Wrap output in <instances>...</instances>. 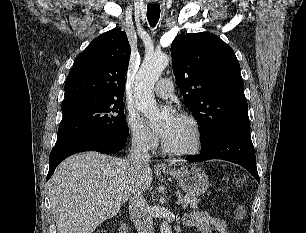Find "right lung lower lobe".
I'll return each instance as SVG.
<instances>
[{
    "label": "right lung lower lobe",
    "mask_w": 306,
    "mask_h": 233,
    "mask_svg": "<svg viewBox=\"0 0 306 233\" xmlns=\"http://www.w3.org/2000/svg\"><path fill=\"white\" fill-rule=\"evenodd\" d=\"M127 137H109L103 135H85L76 137L67 142L55 145L49 157L50 167L47 175L49 179L59 163L68 156L83 151H99L113 153L121 150Z\"/></svg>",
    "instance_id": "1"
}]
</instances>
